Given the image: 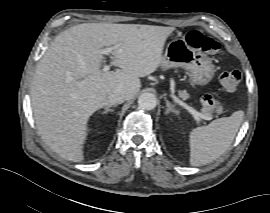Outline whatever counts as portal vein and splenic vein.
I'll list each match as a JSON object with an SVG mask.
<instances>
[{
    "instance_id": "1",
    "label": "portal vein and splenic vein",
    "mask_w": 270,
    "mask_h": 213,
    "mask_svg": "<svg viewBox=\"0 0 270 213\" xmlns=\"http://www.w3.org/2000/svg\"><path fill=\"white\" fill-rule=\"evenodd\" d=\"M114 48L115 47H109V48L103 49L102 50V53L104 55H110V53L112 52V50ZM109 70H110V66L109 65H105L104 68H103V71L104 72H108ZM173 98H174V100H175L176 103H178L179 105H181L182 107H184L189 113H191L193 115V117L197 121H200L201 119H205V117L200 112H198L197 110H195L193 107H191V106L187 105L186 103L182 102L176 96H173Z\"/></svg>"
}]
</instances>
